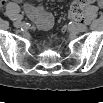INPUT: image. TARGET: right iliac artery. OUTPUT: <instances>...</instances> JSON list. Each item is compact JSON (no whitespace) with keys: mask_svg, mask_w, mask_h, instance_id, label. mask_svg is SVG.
Listing matches in <instances>:
<instances>
[{"mask_svg":"<svg viewBox=\"0 0 103 103\" xmlns=\"http://www.w3.org/2000/svg\"><path fill=\"white\" fill-rule=\"evenodd\" d=\"M22 19H23V16L20 15V14H19V15L17 16V18H16L17 21H20V20H22Z\"/></svg>","mask_w":103,"mask_h":103,"instance_id":"82829eb1","label":"right iliac artery"}]
</instances>
